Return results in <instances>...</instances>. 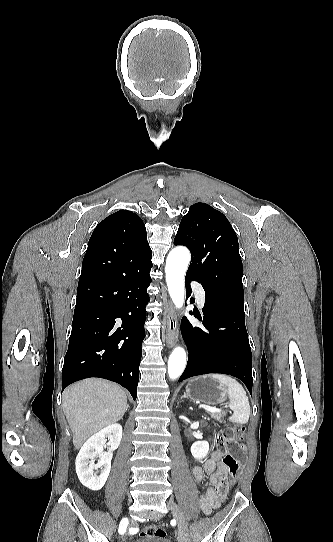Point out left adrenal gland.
Returning <instances> with one entry per match:
<instances>
[{
    "instance_id": "1",
    "label": "left adrenal gland",
    "mask_w": 333,
    "mask_h": 542,
    "mask_svg": "<svg viewBox=\"0 0 333 542\" xmlns=\"http://www.w3.org/2000/svg\"><path fill=\"white\" fill-rule=\"evenodd\" d=\"M183 398H188L186 392H184V396H181V400H183Z\"/></svg>"
}]
</instances>
